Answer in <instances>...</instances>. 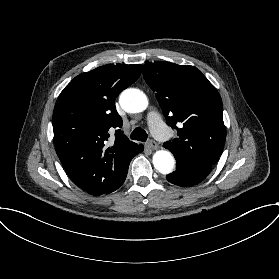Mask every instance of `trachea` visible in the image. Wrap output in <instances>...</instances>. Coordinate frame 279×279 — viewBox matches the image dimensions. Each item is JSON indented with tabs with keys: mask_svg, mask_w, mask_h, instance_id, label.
I'll list each match as a JSON object with an SVG mask.
<instances>
[{
	"mask_svg": "<svg viewBox=\"0 0 279 279\" xmlns=\"http://www.w3.org/2000/svg\"><path fill=\"white\" fill-rule=\"evenodd\" d=\"M147 137L148 135L143 128H136L133 130L131 134V139L138 141H146Z\"/></svg>",
	"mask_w": 279,
	"mask_h": 279,
	"instance_id": "obj_1",
	"label": "trachea"
}]
</instances>
